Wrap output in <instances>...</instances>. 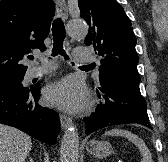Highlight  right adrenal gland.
Masks as SVG:
<instances>
[{
	"instance_id": "right-adrenal-gland-1",
	"label": "right adrenal gland",
	"mask_w": 168,
	"mask_h": 162,
	"mask_svg": "<svg viewBox=\"0 0 168 162\" xmlns=\"http://www.w3.org/2000/svg\"><path fill=\"white\" fill-rule=\"evenodd\" d=\"M29 157V162H34V160L32 159V157L28 156Z\"/></svg>"
}]
</instances>
